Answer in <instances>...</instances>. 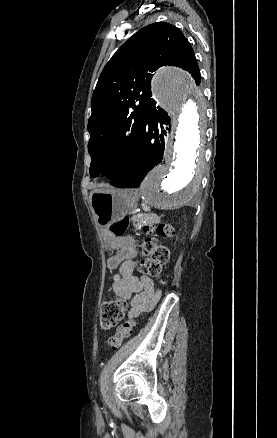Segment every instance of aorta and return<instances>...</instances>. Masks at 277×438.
Wrapping results in <instances>:
<instances>
[{"instance_id": "aorta-1", "label": "aorta", "mask_w": 277, "mask_h": 438, "mask_svg": "<svg viewBox=\"0 0 277 438\" xmlns=\"http://www.w3.org/2000/svg\"><path fill=\"white\" fill-rule=\"evenodd\" d=\"M158 104L171 116L172 128L164 163L155 167L141 185L143 198L159 209H174L197 192L204 170L205 109L192 88L188 73L165 67L152 84Z\"/></svg>"}]
</instances>
